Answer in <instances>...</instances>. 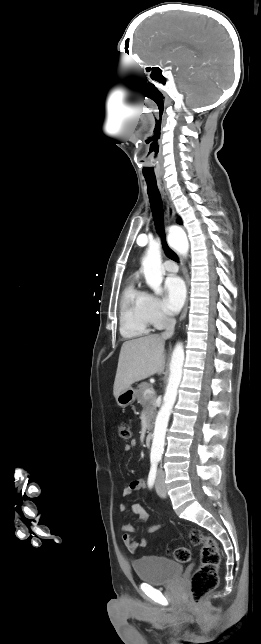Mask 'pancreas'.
Returning a JSON list of instances; mask_svg holds the SVG:
<instances>
[{
	"label": "pancreas",
	"mask_w": 261,
	"mask_h": 644,
	"mask_svg": "<svg viewBox=\"0 0 261 644\" xmlns=\"http://www.w3.org/2000/svg\"><path fill=\"white\" fill-rule=\"evenodd\" d=\"M149 388H152V386L147 382L139 384L138 390L136 391V397L138 403L145 408L147 414L148 429H151L156 411V395L154 393L148 396H144L145 390Z\"/></svg>",
	"instance_id": "cf45deb5"
}]
</instances>
